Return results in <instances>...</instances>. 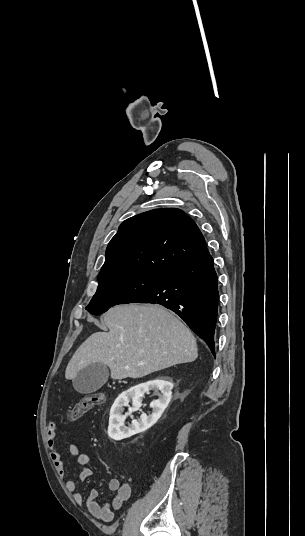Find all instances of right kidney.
<instances>
[{"label": "right kidney", "instance_id": "1", "mask_svg": "<svg viewBox=\"0 0 305 536\" xmlns=\"http://www.w3.org/2000/svg\"><path fill=\"white\" fill-rule=\"evenodd\" d=\"M148 390H154L156 394H158L159 390L161 392V394H159V400H153L150 404V408H153L152 414H150V416L142 414V416H140V422L133 420L131 426L125 428L124 422L128 414L123 416V406H128L129 398H132L133 402H137V406L130 408V412H136L141 406V398L143 394L148 392ZM172 390L173 384L172 382H169L168 378H156V380H150V382H146V384H138V386H134V388H129L125 394H121L110 410L108 426L109 438H112V440H123V438H130V436L139 434V432H145V430L154 426L157 420L161 418L165 408H167L171 400Z\"/></svg>", "mask_w": 305, "mask_h": 536}]
</instances>
